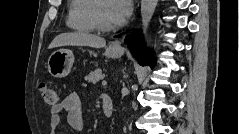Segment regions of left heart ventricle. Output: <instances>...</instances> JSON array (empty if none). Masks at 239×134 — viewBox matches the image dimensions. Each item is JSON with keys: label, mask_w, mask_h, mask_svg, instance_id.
<instances>
[{"label": "left heart ventricle", "mask_w": 239, "mask_h": 134, "mask_svg": "<svg viewBox=\"0 0 239 134\" xmlns=\"http://www.w3.org/2000/svg\"><path fill=\"white\" fill-rule=\"evenodd\" d=\"M99 14L101 17V20L103 21L104 24L113 26L114 21L111 17L110 10H109V2L106 0H102L99 6Z\"/></svg>", "instance_id": "b2bd125f"}]
</instances>
